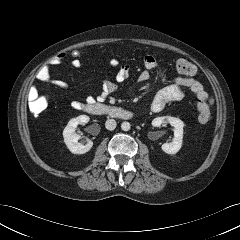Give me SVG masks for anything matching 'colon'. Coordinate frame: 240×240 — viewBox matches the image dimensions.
Listing matches in <instances>:
<instances>
[{"mask_svg": "<svg viewBox=\"0 0 240 240\" xmlns=\"http://www.w3.org/2000/svg\"><path fill=\"white\" fill-rule=\"evenodd\" d=\"M63 54L65 59L74 67H80L84 62L85 52L81 48H72ZM176 70L183 75H193L195 73L194 65L186 59H179L176 62ZM46 107L47 100L44 97L29 100L30 111L35 115L41 114ZM197 112L200 124H207L212 118L210 106L205 101H199L197 103Z\"/></svg>", "mask_w": 240, "mask_h": 240, "instance_id": "colon-1", "label": "colon"}]
</instances>
